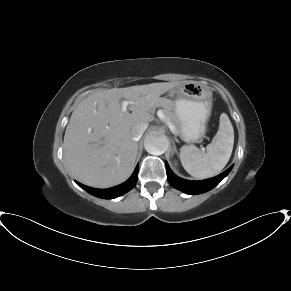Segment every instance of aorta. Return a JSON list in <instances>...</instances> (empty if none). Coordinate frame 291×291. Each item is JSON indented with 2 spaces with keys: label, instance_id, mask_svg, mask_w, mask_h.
<instances>
[{
  "label": "aorta",
  "instance_id": "1",
  "mask_svg": "<svg viewBox=\"0 0 291 291\" xmlns=\"http://www.w3.org/2000/svg\"><path fill=\"white\" fill-rule=\"evenodd\" d=\"M144 147L150 154L161 155L167 151L169 141L165 135L151 133L146 137Z\"/></svg>",
  "mask_w": 291,
  "mask_h": 291
}]
</instances>
